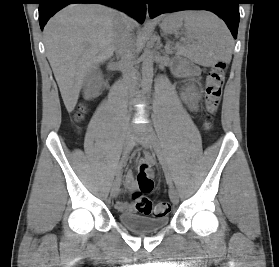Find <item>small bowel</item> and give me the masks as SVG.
<instances>
[{"label":"small bowel","mask_w":279,"mask_h":267,"mask_svg":"<svg viewBox=\"0 0 279 267\" xmlns=\"http://www.w3.org/2000/svg\"><path fill=\"white\" fill-rule=\"evenodd\" d=\"M182 76H189V77H197L198 76V70L193 67L189 66L184 69H181L178 72ZM182 99L184 103L187 105V107L192 111L195 112L197 109V97L194 93L184 90L181 93ZM145 162L152 163V157L150 155H146ZM126 186L127 189L130 191H134L136 189V183L134 180V176L131 172H129L126 175ZM115 207L120 212H133L134 206L132 204L123 202V201H117L115 204Z\"/></svg>","instance_id":"small-bowel-1"}]
</instances>
